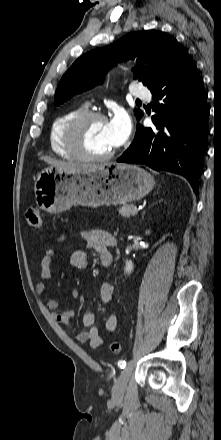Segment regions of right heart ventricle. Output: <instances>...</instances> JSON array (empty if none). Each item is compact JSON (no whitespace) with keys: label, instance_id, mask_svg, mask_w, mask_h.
<instances>
[{"label":"right heart ventricle","instance_id":"1","mask_svg":"<svg viewBox=\"0 0 221 440\" xmlns=\"http://www.w3.org/2000/svg\"><path fill=\"white\" fill-rule=\"evenodd\" d=\"M86 111V106H79L58 115L52 122L49 132V143L51 150L59 157L74 159L65 145L64 133L68 123L78 114Z\"/></svg>","mask_w":221,"mask_h":440}]
</instances>
